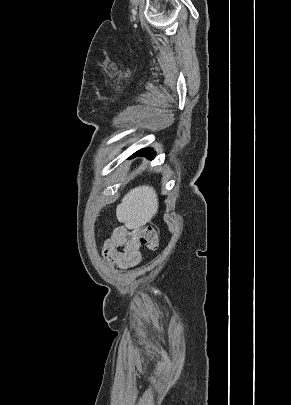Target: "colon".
<instances>
[{"label": "colon", "mask_w": 291, "mask_h": 405, "mask_svg": "<svg viewBox=\"0 0 291 405\" xmlns=\"http://www.w3.org/2000/svg\"><path fill=\"white\" fill-rule=\"evenodd\" d=\"M140 242L149 250L155 251L159 246L157 229L153 225H144L138 229Z\"/></svg>", "instance_id": "obj_1"}]
</instances>
